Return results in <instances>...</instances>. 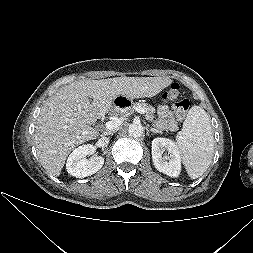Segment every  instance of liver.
<instances>
[{"mask_svg":"<svg viewBox=\"0 0 253 253\" xmlns=\"http://www.w3.org/2000/svg\"><path fill=\"white\" fill-rule=\"evenodd\" d=\"M171 83L162 77H116L77 81L60 88L37 118L34 144L40 163L58 177L69 153L99 136L91 125L111 111L117 96L153 97Z\"/></svg>","mask_w":253,"mask_h":253,"instance_id":"1","label":"liver"}]
</instances>
